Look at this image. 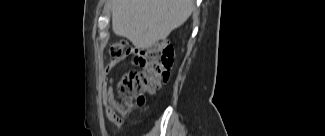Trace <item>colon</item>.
Returning a JSON list of instances; mask_svg holds the SVG:
<instances>
[{
  "label": "colon",
  "instance_id": "1",
  "mask_svg": "<svg viewBox=\"0 0 325 136\" xmlns=\"http://www.w3.org/2000/svg\"><path fill=\"white\" fill-rule=\"evenodd\" d=\"M126 54V43L117 42L110 48L112 60H121ZM146 64L136 77L128 84L127 100L134 99L136 104L144 105L147 95L154 93L166 83L173 63V48L167 41H159L146 51Z\"/></svg>",
  "mask_w": 325,
  "mask_h": 136
}]
</instances>
